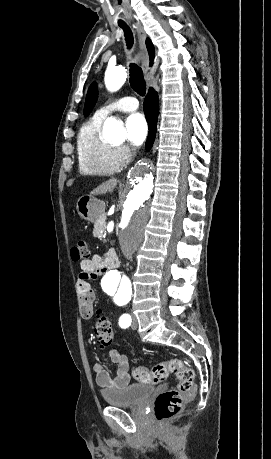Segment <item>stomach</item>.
<instances>
[{"label":"stomach","instance_id":"1","mask_svg":"<svg viewBox=\"0 0 271 459\" xmlns=\"http://www.w3.org/2000/svg\"><path fill=\"white\" fill-rule=\"evenodd\" d=\"M77 212L80 218L87 222H97L105 212V204L92 196H82L77 202Z\"/></svg>","mask_w":271,"mask_h":459}]
</instances>
